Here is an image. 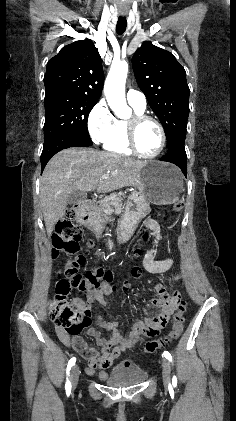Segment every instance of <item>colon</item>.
Instances as JSON below:
<instances>
[{
  "label": "colon",
  "mask_w": 236,
  "mask_h": 421,
  "mask_svg": "<svg viewBox=\"0 0 236 421\" xmlns=\"http://www.w3.org/2000/svg\"><path fill=\"white\" fill-rule=\"evenodd\" d=\"M184 208L183 202H177L173 206V211L180 212ZM74 212L67 210L65 217L58 221L55 232L52 236L53 256L64 253L70 256L65 269L59 274L56 284L55 295L49 303V315L58 330L67 334L71 339L74 349L82 356L93 353L94 349L89 348L80 338V334L91 323V311L86 305H77L67 299L72 292H79L89 295L92 291L100 289L112 281V273L102 266L80 273L78 267L86 260V253H81L80 241L82 238L81 230L73 221ZM147 236H144L146 238ZM140 250L135 251L138 255ZM160 267V266H158ZM140 275L139 268L132 269V276L137 278ZM113 289V287H110ZM177 310L173 316V326L169 333L157 340L147 342L145 352L154 353L177 339L184 327L185 313L187 311L186 301L174 296ZM163 320L158 321V324Z\"/></svg>",
  "instance_id": "colon-1"
}]
</instances>
